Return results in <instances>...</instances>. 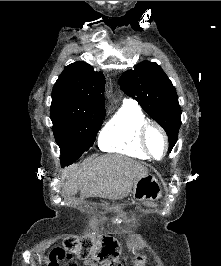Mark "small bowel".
<instances>
[{
    "label": "small bowel",
    "instance_id": "c3829d8e",
    "mask_svg": "<svg viewBox=\"0 0 221 266\" xmlns=\"http://www.w3.org/2000/svg\"><path fill=\"white\" fill-rule=\"evenodd\" d=\"M52 251H67V246H52ZM66 257H74V252H50L49 263L47 266H65ZM77 262V259H74ZM71 266H78V263H71ZM83 266H98L94 261H86Z\"/></svg>",
    "mask_w": 221,
    "mask_h": 266
}]
</instances>
